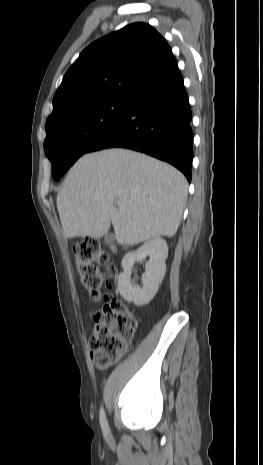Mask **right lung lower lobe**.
Returning a JSON list of instances; mask_svg holds the SVG:
<instances>
[{"label": "right lung lower lobe", "instance_id": "98d812e1", "mask_svg": "<svg viewBox=\"0 0 263 465\" xmlns=\"http://www.w3.org/2000/svg\"><path fill=\"white\" fill-rule=\"evenodd\" d=\"M192 114L179 69L138 90L125 116L89 152L122 147L171 163L191 181Z\"/></svg>", "mask_w": 263, "mask_h": 465}]
</instances>
